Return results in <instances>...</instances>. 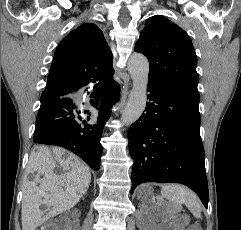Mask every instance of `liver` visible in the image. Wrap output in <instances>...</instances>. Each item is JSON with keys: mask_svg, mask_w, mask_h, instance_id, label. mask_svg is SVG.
<instances>
[{"mask_svg": "<svg viewBox=\"0 0 241 230\" xmlns=\"http://www.w3.org/2000/svg\"><path fill=\"white\" fill-rule=\"evenodd\" d=\"M64 155L57 147L38 146L31 152L26 172L37 174L23 187L22 230H35L50 217L73 208L86 194L91 181L89 168L73 154ZM57 166L63 174L54 172ZM42 204L53 208L45 213L40 209Z\"/></svg>", "mask_w": 241, "mask_h": 230, "instance_id": "obj_1", "label": "liver"}]
</instances>
